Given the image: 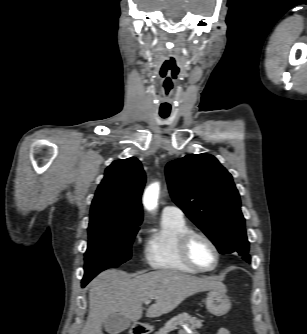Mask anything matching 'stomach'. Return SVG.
Returning <instances> with one entry per match:
<instances>
[{
	"label": "stomach",
	"mask_w": 307,
	"mask_h": 334,
	"mask_svg": "<svg viewBox=\"0 0 307 334\" xmlns=\"http://www.w3.org/2000/svg\"><path fill=\"white\" fill-rule=\"evenodd\" d=\"M207 310L215 315L222 316L228 313L231 308V302L226 295L225 286L220 289L211 290L206 297Z\"/></svg>",
	"instance_id": "0dacf381"
}]
</instances>
